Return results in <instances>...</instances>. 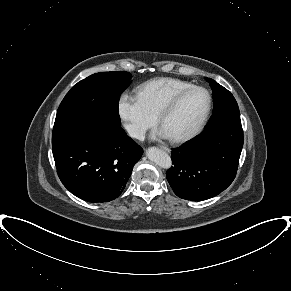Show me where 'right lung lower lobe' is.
Listing matches in <instances>:
<instances>
[{"instance_id": "obj_1", "label": "right lung lower lobe", "mask_w": 291, "mask_h": 291, "mask_svg": "<svg viewBox=\"0 0 291 291\" xmlns=\"http://www.w3.org/2000/svg\"><path fill=\"white\" fill-rule=\"evenodd\" d=\"M58 176L75 196L107 202L124 190L143 149L119 127H87L53 144Z\"/></svg>"}]
</instances>
